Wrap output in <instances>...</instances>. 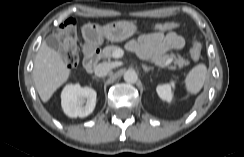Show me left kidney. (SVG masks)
<instances>
[{
  "mask_svg": "<svg viewBox=\"0 0 244 157\" xmlns=\"http://www.w3.org/2000/svg\"><path fill=\"white\" fill-rule=\"evenodd\" d=\"M173 85V83H172ZM157 93L159 97L167 102H170L172 100V92H171V85L170 84H164L157 86Z\"/></svg>",
  "mask_w": 244,
  "mask_h": 157,
  "instance_id": "left-kidney-1",
  "label": "left kidney"
}]
</instances>
